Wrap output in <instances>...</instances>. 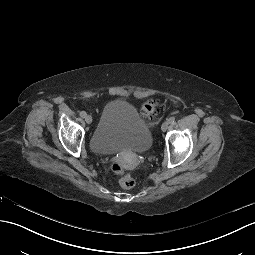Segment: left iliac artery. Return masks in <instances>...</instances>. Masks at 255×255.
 <instances>
[{
    "instance_id": "1",
    "label": "left iliac artery",
    "mask_w": 255,
    "mask_h": 255,
    "mask_svg": "<svg viewBox=\"0 0 255 255\" xmlns=\"http://www.w3.org/2000/svg\"><path fill=\"white\" fill-rule=\"evenodd\" d=\"M168 122L170 123V124H173L174 122H175V117H170L169 119H168Z\"/></svg>"
}]
</instances>
